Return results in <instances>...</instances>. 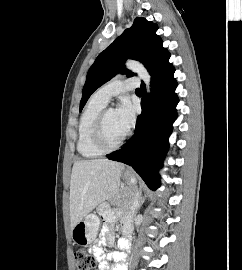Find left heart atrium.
Wrapping results in <instances>:
<instances>
[{
    "mask_svg": "<svg viewBox=\"0 0 242 270\" xmlns=\"http://www.w3.org/2000/svg\"><path fill=\"white\" fill-rule=\"evenodd\" d=\"M118 119L127 132L135 121V108L128 99H123L116 110Z\"/></svg>",
    "mask_w": 242,
    "mask_h": 270,
    "instance_id": "obj_1",
    "label": "left heart atrium"
}]
</instances>
